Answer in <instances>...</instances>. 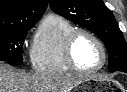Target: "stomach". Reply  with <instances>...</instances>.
Listing matches in <instances>:
<instances>
[{
  "instance_id": "stomach-1",
  "label": "stomach",
  "mask_w": 127,
  "mask_h": 92,
  "mask_svg": "<svg viewBox=\"0 0 127 92\" xmlns=\"http://www.w3.org/2000/svg\"><path fill=\"white\" fill-rule=\"evenodd\" d=\"M102 86V82L97 77H90L81 81L78 84L76 90L82 92H100L99 88Z\"/></svg>"
}]
</instances>
